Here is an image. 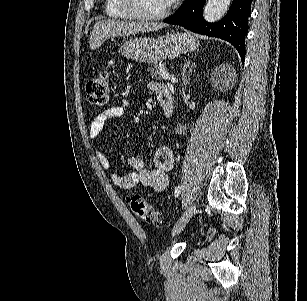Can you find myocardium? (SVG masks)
Instances as JSON below:
<instances>
[{"instance_id":"f54148a6","label":"myocardium","mask_w":307,"mask_h":301,"mask_svg":"<svg viewBox=\"0 0 307 301\" xmlns=\"http://www.w3.org/2000/svg\"><path fill=\"white\" fill-rule=\"evenodd\" d=\"M125 1H120L119 5L123 7L122 11L126 12L128 17L134 18L135 22H161V18L167 17L174 2L168 1L167 4L161 7L160 11H137L138 7L133 4L136 3V0Z\"/></svg>"}]
</instances>
